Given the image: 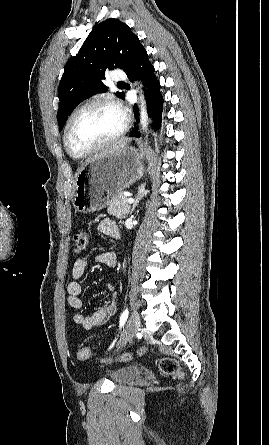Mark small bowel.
<instances>
[{
    "instance_id": "1",
    "label": "small bowel",
    "mask_w": 269,
    "mask_h": 445,
    "mask_svg": "<svg viewBox=\"0 0 269 445\" xmlns=\"http://www.w3.org/2000/svg\"><path fill=\"white\" fill-rule=\"evenodd\" d=\"M99 230L112 238H119L120 231L115 221L111 219H103L99 223ZM97 261L107 265L108 267H114L117 262V257L114 252H104L96 257ZM87 267V261L85 258H78L75 260L72 266V278L73 280L67 287V301L68 304L76 309L81 310L83 307V300L81 298L82 285L81 278L84 276ZM117 292L113 285L108 284L106 287V298L104 304L97 309L91 315H87L82 311H78L74 314L73 320L76 324L81 325L86 330H91L105 323L113 314L116 309Z\"/></svg>"
}]
</instances>
